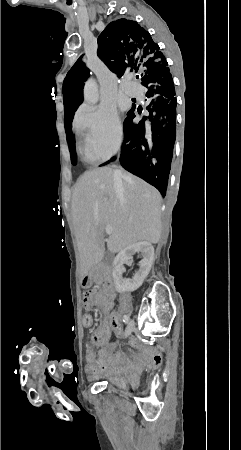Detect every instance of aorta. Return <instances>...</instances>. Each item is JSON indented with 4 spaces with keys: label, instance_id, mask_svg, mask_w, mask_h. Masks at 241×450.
<instances>
[{
    "label": "aorta",
    "instance_id": "1",
    "mask_svg": "<svg viewBox=\"0 0 241 450\" xmlns=\"http://www.w3.org/2000/svg\"><path fill=\"white\" fill-rule=\"evenodd\" d=\"M84 98L89 104H96L98 102V89L97 84L94 80L90 79L86 82L84 88Z\"/></svg>",
    "mask_w": 241,
    "mask_h": 450
}]
</instances>
